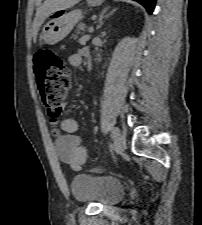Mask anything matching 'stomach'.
<instances>
[{"label": "stomach", "instance_id": "obj_1", "mask_svg": "<svg viewBox=\"0 0 202 225\" xmlns=\"http://www.w3.org/2000/svg\"><path fill=\"white\" fill-rule=\"evenodd\" d=\"M104 0H87L90 6H99ZM81 10L66 12L58 10L48 16L49 21L44 25L41 38L44 43L54 45L66 38L75 25L82 19Z\"/></svg>", "mask_w": 202, "mask_h": 225}]
</instances>
